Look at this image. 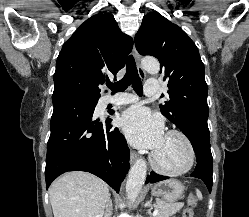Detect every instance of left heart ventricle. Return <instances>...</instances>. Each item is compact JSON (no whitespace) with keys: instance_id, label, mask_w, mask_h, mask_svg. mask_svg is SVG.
I'll return each instance as SVG.
<instances>
[{"instance_id":"b2bd125f","label":"left heart ventricle","mask_w":249,"mask_h":217,"mask_svg":"<svg viewBox=\"0 0 249 217\" xmlns=\"http://www.w3.org/2000/svg\"><path fill=\"white\" fill-rule=\"evenodd\" d=\"M154 152L157 161L169 169L184 166L188 156L184 143L176 136H165L161 145Z\"/></svg>"}]
</instances>
